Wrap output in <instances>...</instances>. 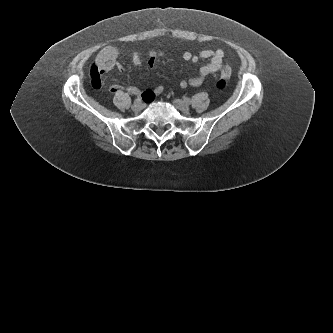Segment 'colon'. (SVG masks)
<instances>
[{
	"instance_id": "colon-1",
	"label": "colon",
	"mask_w": 333,
	"mask_h": 333,
	"mask_svg": "<svg viewBox=\"0 0 333 333\" xmlns=\"http://www.w3.org/2000/svg\"><path fill=\"white\" fill-rule=\"evenodd\" d=\"M230 75H231L230 68L228 66L224 67V69L221 72V77L216 83V88L218 90L222 91L227 87Z\"/></svg>"
}]
</instances>
